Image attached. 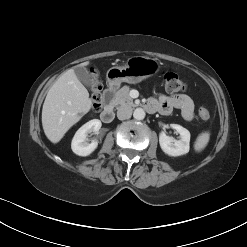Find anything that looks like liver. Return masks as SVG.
Listing matches in <instances>:
<instances>
[{
  "mask_svg": "<svg viewBox=\"0 0 247 247\" xmlns=\"http://www.w3.org/2000/svg\"><path fill=\"white\" fill-rule=\"evenodd\" d=\"M84 62L78 66H87ZM92 107V100L74 69L64 72L49 89L42 109V126L46 137L58 143L65 133Z\"/></svg>",
  "mask_w": 247,
  "mask_h": 247,
  "instance_id": "1",
  "label": "liver"
}]
</instances>
